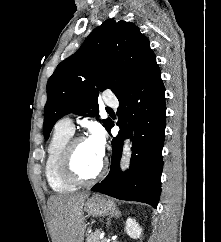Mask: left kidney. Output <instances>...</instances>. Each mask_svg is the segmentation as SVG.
Segmentation results:
<instances>
[{"label":"left kidney","instance_id":"1","mask_svg":"<svg viewBox=\"0 0 221 242\" xmlns=\"http://www.w3.org/2000/svg\"><path fill=\"white\" fill-rule=\"evenodd\" d=\"M125 231L126 233L134 239H138L142 235V228L136 222L135 219L128 218L125 224Z\"/></svg>","mask_w":221,"mask_h":242}]
</instances>
